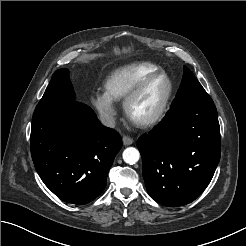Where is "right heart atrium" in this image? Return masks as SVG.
<instances>
[{
	"label": "right heart atrium",
	"mask_w": 246,
	"mask_h": 246,
	"mask_svg": "<svg viewBox=\"0 0 246 246\" xmlns=\"http://www.w3.org/2000/svg\"><path fill=\"white\" fill-rule=\"evenodd\" d=\"M93 105L107 122L114 120L116 107L114 100L106 92H97L93 98Z\"/></svg>",
	"instance_id": "1"
}]
</instances>
